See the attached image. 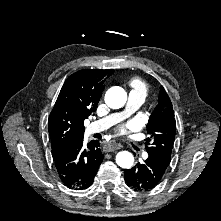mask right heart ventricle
<instances>
[{"label": "right heart ventricle", "instance_id": "e07e8e85", "mask_svg": "<svg viewBox=\"0 0 221 221\" xmlns=\"http://www.w3.org/2000/svg\"><path fill=\"white\" fill-rule=\"evenodd\" d=\"M131 87L133 88V92H139L144 95V97L147 94V85L144 80L141 78H134L130 82Z\"/></svg>", "mask_w": 221, "mask_h": 221}]
</instances>
